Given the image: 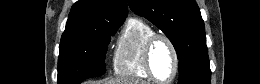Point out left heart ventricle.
<instances>
[{
	"mask_svg": "<svg viewBox=\"0 0 260 84\" xmlns=\"http://www.w3.org/2000/svg\"><path fill=\"white\" fill-rule=\"evenodd\" d=\"M152 67L159 80L166 81L172 76L174 69L173 54L169 45L163 40H159L153 49Z\"/></svg>",
	"mask_w": 260,
	"mask_h": 84,
	"instance_id": "b2bd125f",
	"label": "left heart ventricle"
}]
</instances>
